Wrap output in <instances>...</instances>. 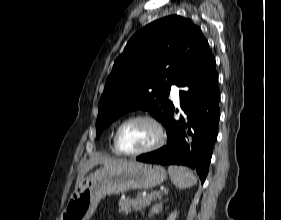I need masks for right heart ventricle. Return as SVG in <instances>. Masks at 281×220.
<instances>
[{"instance_id":"1","label":"right heart ventricle","mask_w":281,"mask_h":220,"mask_svg":"<svg viewBox=\"0 0 281 220\" xmlns=\"http://www.w3.org/2000/svg\"><path fill=\"white\" fill-rule=\"evenodd\" d=\"M113 151H114L115 153H118V152L116 151V149H115L114 145H113Z\"/></svg>"}]
</instances>
